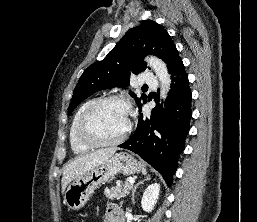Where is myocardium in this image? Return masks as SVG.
<instances>
[{
  "label": "myocardium",
  "mask_w": 257,
  "mask_h": 222,
  "mask_svg": "<svg viewBox=\"0 0 257 222\" xmlns=\"http://www.w3.org/2000/svg\"><path fill=\"white\" fill-rule=\"evenodd\" d=\"M110 102H118V103L123 104L128 109L129 114H131L130 102L122 96L111 95V96H107V97H103V98L95 100L83 112V114L81 115L79 122H78L77 136L82 143H84L90 147H111V146H116V145L122 143L129 136V134L132 130V126H133L131 117L129 119V123H128L126 130L118 138L111 140V141L98 140L94 136H92L91 133L88 131L87 124H88V121H89L90 117L92 116V114L98 108H100L104 104H107Z\"/></svg>",
  "instance_id": "1"
}]
</instances>
